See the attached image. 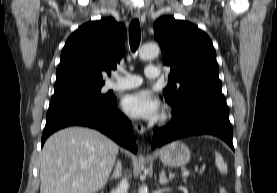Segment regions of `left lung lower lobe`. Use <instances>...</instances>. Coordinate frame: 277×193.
Wrapping results in <instances>:
<instances>
[{"label":"left lung lower lobe","instance_id":"obj_1","mask_svg":"<svg viewBox=\"0 0 277 193\" xmlns=\"http://www.w3.org/2000/svg\"><path fill=\"white\" fill-rule=\"evenodd\" d=\"M201 134L215 135L234 150L229 108L221 91H201L191 95L182 107L174 109V116L166 127L154 131L152 147Z\"/></svg>","mask_w":277,"mask_h":193}]
</instances>
